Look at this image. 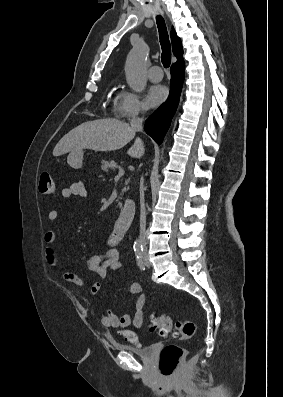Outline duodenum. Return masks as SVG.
Returning <instances> with one entry per match:
<instances>
[{"label":"duodenum","mask_w":283,"mask_h":397,"mask_svg":"<svg viewBox=\"0 0 283 397\" xmlns=\"http://www.w3.org/2000/svg\"><path fill=\"white\" fill-rule=\"evenodd\" d=\"M135 214V204L132 200L125 201L122 211L115 220L114 229L117 233L123 235L130 227Z\"/></svg>","instance_id":"duodenum-1"}]
</instances>
